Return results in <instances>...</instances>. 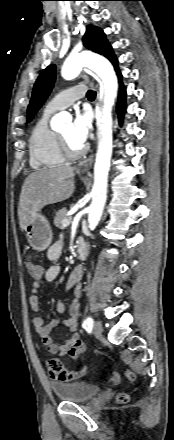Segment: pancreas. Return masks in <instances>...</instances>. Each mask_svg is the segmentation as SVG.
I'll list each match as a JSON object with an SVG mask.
<instances>
[{"label": "pancreas", "instance_id": "pancreas-1", "mask_svg": "<svg viewBox=\"0 0 174 440\" xmlns=\"http://www.w3.org/2000/svg\"><path fill=\"white\" fill-rule=\"evenodd\" d=\"M67 213L68 210L66 208H62L59 211H57L54 217V225L60 229H63L64 227L62 226V221L64 219H70Z\"/></svg>", "mask_w": 174, "mask_h": 440}]
</instances>
